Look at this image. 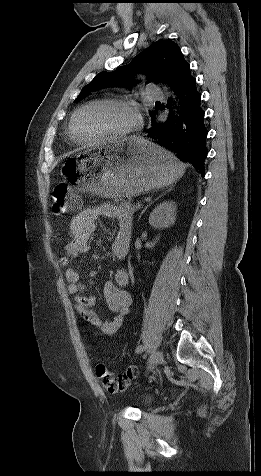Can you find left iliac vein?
<instances>
[{"label":"left iliac vein","instance_id":"4c4485c4","mask_svg":"<svg viewBox=\"0 0 261 476\" xmlns=\"http://www.w3.org/2000/svg\"><path fill=\"white\" fill-rule=\"evenodd\" d=\"M164 360L163 352L158 350L154 352L149 359L148 368H154L157 365L161 364Z\"/></svg>","mask_w":261,"mask_h":476}]
</instances>
